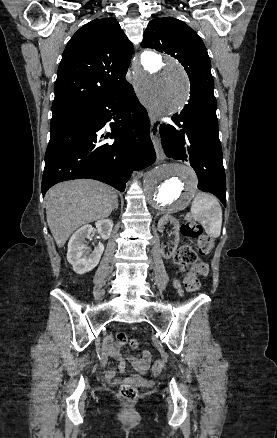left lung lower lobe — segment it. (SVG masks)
I'll return each mask as SVG.
<instances>
[{"instance_id":"1","label":"left lung lower lobe","mask_w":277,"mask_h":438,"mask_svg":"<svg viewBox=\"0 0 277 438\" xmlns=\"http://www.w3.org/2000/svg\"><path fill=\"white\" fill-rule=\"evenodd\" d=\"M216 106L215 98H190L181 113L172 117L181 129L162 124L160 134L165 154L177 160L189 159L198 176V188L214 194L226 206V179Z\"/></svg>"}]
</instances>
